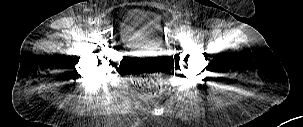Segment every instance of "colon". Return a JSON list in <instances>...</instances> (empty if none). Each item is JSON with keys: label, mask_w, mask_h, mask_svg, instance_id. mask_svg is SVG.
<instances>
[{"label": "colon", "mask_w": 303, "mask_h": 127, "mask_svg": "<svg viewBox=\"0 0 303 127\" xmlns=\"http://www.w3.org/2000/svg\"><path fill=\"white\" fill-rule=\"evenodd\" d=\"M137 75V86L152 96L160 95L163 91L160 76L163 73V66L157 60L140 61L134 67Z\"/></svg>", "instance_id": "5ec220e1"}]
</instances>
